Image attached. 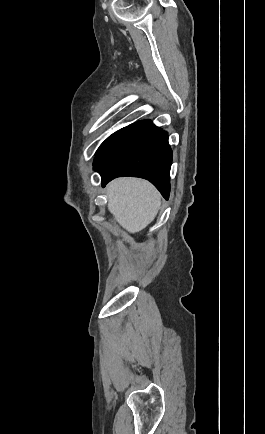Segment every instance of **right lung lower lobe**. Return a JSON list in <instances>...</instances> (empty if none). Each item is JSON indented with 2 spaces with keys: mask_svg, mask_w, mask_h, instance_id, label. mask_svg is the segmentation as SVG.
Returning a JSON list of instances; mask_svg holds the SVG:
<instances>
[{
  "mask_svg": "<svg viewBox=\"0 0 265 434\" xmlns=\"http://www.w3.org/2000/svg\"><path fill=\"white\" fill-rule=\"evenodd\" d=\"M171 163L167 132L149 120L112 134L101 144L94 159L103 187L119 176L141 177L152 182L166 199L170 192Z\"/></svg>",
  "mask_w": 265,
  "mask_h": 434,
  "instance_id": "right-lung-lower-lobe-1",
  "label": "right lung lower lobe"
}]
</instances>
